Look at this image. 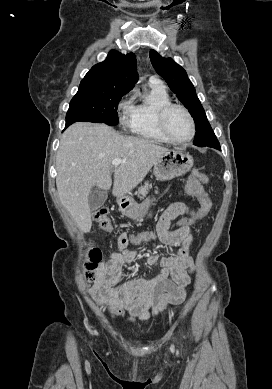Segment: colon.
I'll return each instance as SVG.
<instances>
[{
	"label": "colon",
	"instance_id": "5ec220e1",
	"mask_svg": "<svg viewBox=\"0 0 272 389\" xmlns=\"http://www.w3.org/2000/svg\"><path fill=\"white\" fill-rule=\"evenodd\" d=\"M207 182L208 178L203 172L197 169L192 170L187 182V190L199 199L200 206L195 211L194 216H183L182 218H180L177 222V229L185 226H191L209 211L211 207V202L204 189V185L207 184ZM93 219L96 223H98L101 229L106 231L110 230L111 222L108 217V210L106 208L102 207L98 209L94 213ZM156 237L157 231L147 232L139 235L138 237H135L134 239H132V242L134 244H146L153 241ZM100 259L101 252L99 251V249L93 248L90 251L89 261L86 264L85 269V278L88 282H91L94 279V271L97 268Z\"/></svg>",
	"mask_w": 272,
	"mask_h": 389
}]
</instances>
